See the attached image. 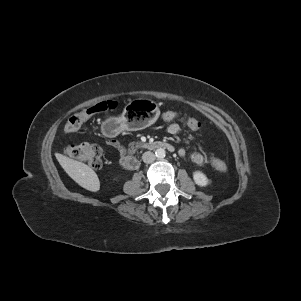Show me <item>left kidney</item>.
Returning <instances> with one entry per match:
<instances>
[{"label": "left kidney", "mask_w": 301, "mask_h": 301, "mask_svg": "<svg viewBox=\"0 0 301 301\" xmlns=\"http://www.w3.org/2000/svg\"><path fill=\"white\" fill-rule=\"evenodd\" d=\"M193 179L194 182L200 187H205L209 183L206 175L200 171H195L193 173Z\"/></svg>", "instance_id": "5707ae66"}]
</instances>
